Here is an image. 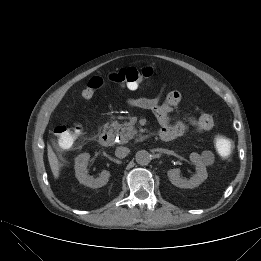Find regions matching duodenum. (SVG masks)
Wrapping results in <instances>:
<instances>
[{"label": "duodenum", "mask_w": 261, "mask_h": 261, "mask_svg": "<svg viewBox=\"0 0 261 261\" xmlns=\"http://www.w3.org/2000/svg\"><path fill=\"white\" fill-rule=\"evenodd\" d=\"M99 142L106 147L112 146L115 142L112 132L109 130L102 131L99 135Z\"/></svg>", "instance_id": "obj_1"}]
</instances>
